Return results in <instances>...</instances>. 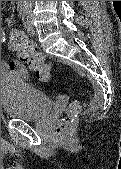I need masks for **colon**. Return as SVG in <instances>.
<instances>
[{
    "label": "colon",
    "instance_id": "1",
    "mask_svg": "<svg viewBox=\"0 0 121 169\" xmlns=\"http://www.w3.org/2000/svg\"><path fill=\"white\" fill-rule=\"evenodd\" d=\"M8 47L13 51L19 62L26 65L30 70L36 73L38 79L47 81L50 77L51 66L46 63L41 54H39L34 45L19 32H11L8 37ZM74 106L70 111L74 110ZM69 132V123L61 122L55 128V134L58 138L64 139Z\"/></svg>",
    "mask_w": 121,
    "mask_h": 169
}]
</instances>
